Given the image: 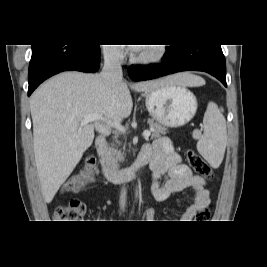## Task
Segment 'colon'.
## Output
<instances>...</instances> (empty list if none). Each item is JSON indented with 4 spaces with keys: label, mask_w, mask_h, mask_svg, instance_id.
<instances>
[{
    "label": "colon",
    "mask_w": 267,
    "mask_h": 267,
    "mask_svg": "<svg viewBox=\"0 0 267 267\" xmlns=\"http://www.w3.org/2000/svg\"><path fill=\"white\" fill-rule=\"evenodd\" d=\"M187 161L190 167L201 177L206 180H211L213 177V172L207 162L196 154L192 150L187 151ZM96 170L95 159L92 156L85 158L83 162V168L79 175L67 183L66 188L70 189L73 187L76 180L88 181ZM85 214V205L82 201L73 199L68 204L58 206L54 210V220L59 223H71L77 222ZM210 218V211L205 208L201 210L197 215L198 222H208Z\"/></svg>",
    "instance_id": "1"
}]
</instances>
